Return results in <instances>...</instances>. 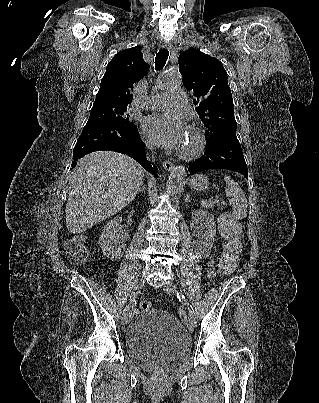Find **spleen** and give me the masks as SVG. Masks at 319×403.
I'll return each instance as SVG.
<instances>
[{"instance_id":"spleen-1","label":"spleen","mask_w":319,"mask_h":403,"mask_svg":"<svg viewBox=\"0 0 319 403\" xmlns=\"http://www.w3.org/2000/svg\"><path fill=\"white\" fill-rule=\"evenodd\" d=\"M226 182L225 194L230 204L233 207V217L237 220L243 219L247 216V198L241 187L229 176H224ZM201 206L205 208H212L213 203L211 200H201Z\"/></svg>"}]
</instances>
